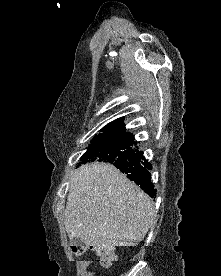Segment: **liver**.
Returning <instances> with one entry per match:
<instances>
[{
	"instance_id": "6515ba94",
	"label": "liver",
	"mask_w": 221,
	"mask_h": 276,
	"mask_svg": "<svg viewBox=\"0 0 221 276\" xmlns=\"http://www.w3.org/2000/svg\"><path fill=\"white\" fill-rule=\"evenodd\" d=\"M154 202L111 164L81 166L71 176L65 227L71 239L102 250L134 246L154 221Z\"/></svg>"
}]
</instances>
